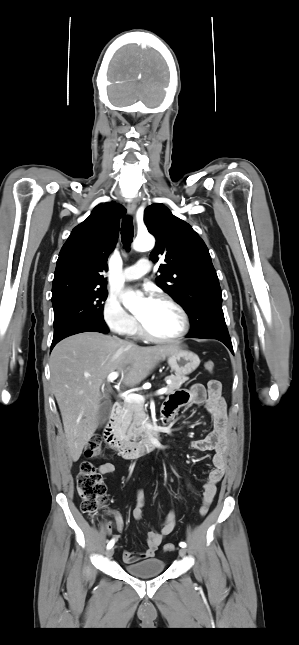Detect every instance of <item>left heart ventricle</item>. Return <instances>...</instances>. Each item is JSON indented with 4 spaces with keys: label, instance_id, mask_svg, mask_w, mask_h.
<instances>
[{
    "label": "left heart ventricle",
    "instance_id": "left-heart-ventricle-1",
    "mask_svg": "<svg viewBox=\"0 0 299 645\" xmlns=\"http://www.w3.org/2000/svg\"><path fill=\"white\" fill-rule=\"evenodd\" d=\"M137 317L146 329L158 337L175 335L181 328V318L178 312L169 304L155 301L146 307L144 303L137 310Z\"/></svg>",
    "mask_w": 299,
    "mask_h": 645
}]
</instances>
